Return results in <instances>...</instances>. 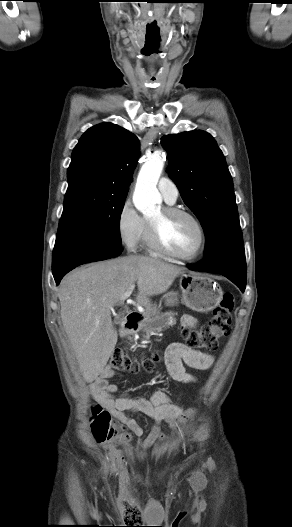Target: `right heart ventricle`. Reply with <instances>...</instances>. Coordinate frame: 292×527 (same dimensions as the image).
Masks as SVG:
<instances>
[{"label": "right heart ventricle", "instance_id": "obj_1", "mask_svg": "<svg viewBox=\"0 0 292 527\" xmlns=\"http://www.w3.org/2000/svg\"><path fill=\"white\" fill-rule=\"evenodd\" d=\"M168 204H171V203H168ZM141 242H142L143 247H145L146 249H152L150 242H149L148 228H147L146 222H145V226L142 232Z\"/></svg>", "mask_w": 292, "mask_h": 527}]
</instances>
